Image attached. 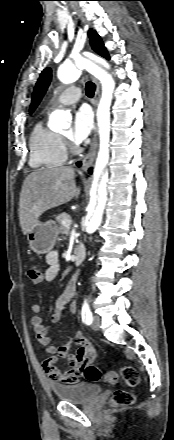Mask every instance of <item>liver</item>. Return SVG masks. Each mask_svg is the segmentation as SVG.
<instances>
[{"label": "liver", "instance_id": "liver-1", "mask_svg": "<svg viewBox=\"0 0 174 440\" xmlns=\"http://www.w3.org/2000/svg\"><path fill=\"white\" fill-rule=\"evenodd\" d=\"M75 171L71 167L41 168L24 180L19 199V221L24 235L47 210L78 198Z\"/></svg>", "mask_w": 174, "mask_h": 440}]
</instances>
